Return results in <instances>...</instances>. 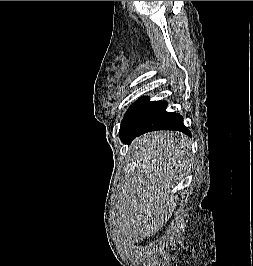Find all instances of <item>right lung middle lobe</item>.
<instances>
[{
    "instance_id": "right-lung-middle-lobe-1",
    "label": "right lung middle lobe",
    "mask_w": 253,
    "mask_h": 266,
    "mask_svg": "<svg viewBox=\"0 0 253 266\" xmlns=\"http://www.w3.org/2000/svg\"><path fill=\"white\" fill-rule=\"evenodd\" d=\"M166 107V101H149L148 97H142L126 112L122 124L131 129L156 125L169 113Z\"/></svg>"
}]
</instances>
